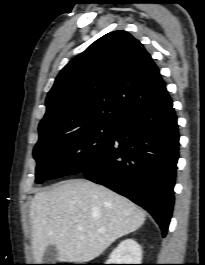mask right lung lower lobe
<instances>
[{"label": "right lung lower lobe", "mask_w": 205, "mask_h": 265, "mask_svg": "<svg viewBox=\"0 0 205 265\" xmlns=\"http://www.w3.org/2000/svg\"><path fill=\"white\" fill-rule=\"evenodd\" d=\"M179 151L177 117L165 90L117 123L109 144L80 172L147 210L167 233Z\"/></svg>", "instance_id": "right-lung-lower-lobe-1"}]
</instances>
